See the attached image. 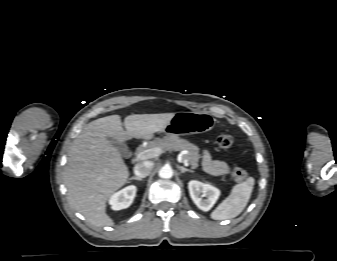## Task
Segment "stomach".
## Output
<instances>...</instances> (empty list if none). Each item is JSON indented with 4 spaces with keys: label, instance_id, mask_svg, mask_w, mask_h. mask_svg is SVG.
Segmentation results:
<instances>
[{
    "label": "stomach",
    "instance_id": "obj_1",
    "mask_svg": "<svg viewBox=\"0 0 337 261\" xmlns=\"http://www.w3.org/2000/svg\"><path fill=\"white\" fill-rule=\"evenodd\" d=\"M215 120L205 112H177L161 130L168 136L200 134L213 129Z\"/></svg>",
    "mask_w": 337,
    "mask_h": 261
}]
</instances>
